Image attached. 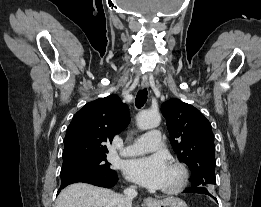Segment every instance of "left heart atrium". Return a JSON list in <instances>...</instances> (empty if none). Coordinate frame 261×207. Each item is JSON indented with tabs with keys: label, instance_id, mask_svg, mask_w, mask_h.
<instances>
[{
	"label": "left heart atrium",
	"instance_id": "left-heart-atrium-1",
	"mask_svg": "<svg viewBox=\"0 0 261 207\" xmlns=\"http://www.w3.org/2000/svg\"><path fill=\"white\" fill-rule=\"evenodd\" d=\"M167 163L162 155L131 159L125 164L126 176L148 188H161L163 185Z\"/></svg>",
	"mask_w": 261,
	"mask_h": 207
}]
</instances>
